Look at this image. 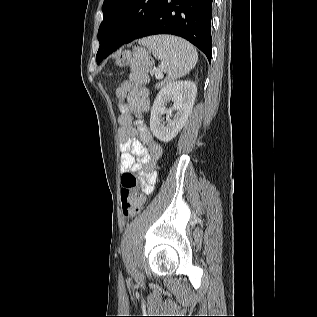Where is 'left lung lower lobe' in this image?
<instances>
[{"label":"left lung lower lobe","mask_w":317,"mask_h":317,"mask_svg":"<svg viewBox=\"0 0 317 317\" xmlns=\"http://www.w3.org/2000/svg\"><path fill=\"white\" fill-rule=\"evenodd\" d=\"M212 1L162 0L154 15L135 39L155 34L177 35L198 47L210 62ZM119 47L116 43L105 41L101 57L106 58Z\"/></svg>","instance_id":"0a47b994"}]
</instances>
